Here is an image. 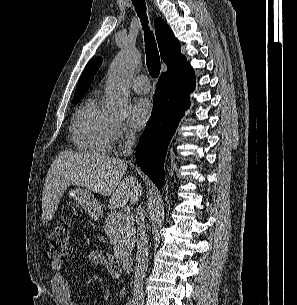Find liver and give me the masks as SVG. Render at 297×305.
<instances>
[{"instance_id":"1","label":"liver","mask_w":297,"mask_h":305,"mask_svg":"<svg viewBox=\"0 0 297 305\" xmlns=\"http://www.w3.org/2000/svg\"><path fill=\"white\" fill-rule=\"evenodd\" d=\"M127 167L124 160L106 155L71 150L60 152L52 162L44 183L43 223L53 218L64 190L70 185L110 196V208L123 207L128 201L135 203L142 188L133 176L122 179Z\"/></svg>"}]
</instances>
